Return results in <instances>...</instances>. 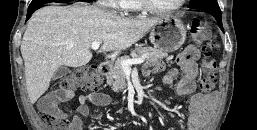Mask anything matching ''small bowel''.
Returning a JSON list of instances; mask_svg holds the SVG:
<instances>
[{
	"label": "small bowel",
	"mask_w": 257,
	"mask_h": 130,
	"mask_svg": "<svg viewBox=\"0 0 257 130\" xmlns=\"http://www.w3.org/2000/svg\"><path fill=\"white\" fill-rule=\"evenodd\" d=\"M199 51L195 46L186 47L177 57L178 68L167 71L163 77L164 85L171 87L177 96H191L188 107L187 130H201L205 125L211 109V98L202 93H196V78L198 75ZM163 63H153L145 68V74L151 75L162 71ZM61 98L57 93H50L40 101V107L58 110ZM109 95L94 92L79 97V106L70 122V130H84L83 120L86 117H99L100 112L92 110L90 104L97 107H106L110 104ZM60 112V111H59Z\"/></svg>",
	"instance_id": "small-bowel-1"
}]
</instances>
